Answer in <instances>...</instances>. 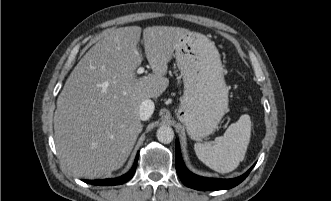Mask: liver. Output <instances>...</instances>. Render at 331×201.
I'll use <instances>...</instances> for the list:
<instances>
[{
	"label": "liver",
	"mask_w": 331,
	"mask_h": 201,
	"mask_svg": "<svg viewBox=\"0 0 331 201\" xmlns=\"http://www.w3.org/2000/svg\"><path fill=\"white\" fill-rule=\"evenodd\" d=\"M141 27L110 29L75 66L57 99L55 143L78 177L99 178L123 166L142 131L139 108L168 87L165 77L176 46L190 32L152 26L143 30L153 71L136 77L143 61Z\"/></svg>",
	"instance_id": "6515ba94"
}]
</instances>
